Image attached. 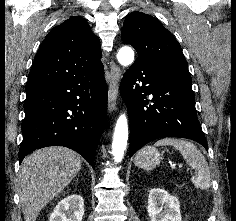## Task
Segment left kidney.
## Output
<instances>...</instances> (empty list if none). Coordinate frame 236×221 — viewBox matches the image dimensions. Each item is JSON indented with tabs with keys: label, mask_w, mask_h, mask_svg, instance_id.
I'll list each match as a JSON object with an SVG mask.
<instances>
[{
	"label": "left kidney",
	"mask_w": 236,
	"mask_h": 221,
	"mask_svg": "<svg viewBox=\"0 0 236 221\" xmlns=\"http://www.w3.org/2000/svg\"><path fill=\"white\" fill-rule=\"evenodd\" d=\"M147 211L151 221H182L178 198L162 188L149 191Z\"/></svg>",
	"instance_id": "obj_1"
}]
</instances>
